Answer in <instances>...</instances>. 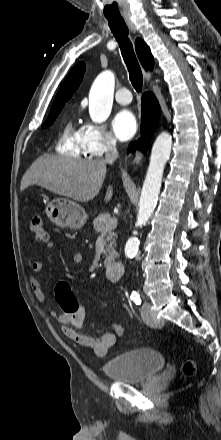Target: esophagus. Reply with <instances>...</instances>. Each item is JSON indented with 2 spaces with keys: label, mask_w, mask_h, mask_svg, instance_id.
Returning <instances> with one entry per match:
<instances>
[{
  "label": "esophagus",
  "mask_w": 221,
  "mask_h": 440,
  "mask_svg": "<svg viewBox=\"0 0 221 440\" xmlns=\"http://www.w3.org/2000/svg\"><path fill=\"white\" fill-rule=\"evenodd\" d=\"M125 22H126L127 26L129 27V29L131 30V32L136 33V27L129 17H125ZM149 79H150L149 73H145L146 83H148ZM142 158H143V154L140 151H137L136 155L133 159L132 165L133 166L138 165L141 162Z\"/></svg>",
  "instance_id": "obj_1"
}]
</instances>
